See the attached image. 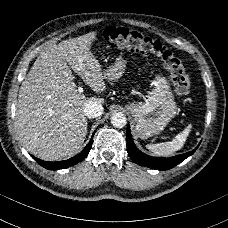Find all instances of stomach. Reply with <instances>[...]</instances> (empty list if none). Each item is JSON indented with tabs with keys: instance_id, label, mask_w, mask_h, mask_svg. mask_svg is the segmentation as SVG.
I'll list each match as a JSON object with an SVG mask.
<instances>
[{
	"instance_id": "0dacf381",
	"label": "stomach",
	"mask_w": 228,
	"mask_h": 228,
	"mask_svg": "<svg viewBox=\"0 0 228 228\" xmlns=\"http://www.w3.org/2000/svg\"><path fill=\"white\" fill-rule=\"evenodd\" d=\"M128 61L129 59L123 54L118 55L115 64L104 72L105 77L109 80L120 79ZM151 85L150 94L143 103L126 104V109L136 122V134L143 138L163 131L177 114L176 101L168 79L161 74H156Z\"/></svg>"
}]
</instances>
